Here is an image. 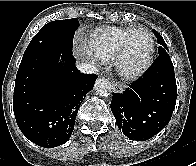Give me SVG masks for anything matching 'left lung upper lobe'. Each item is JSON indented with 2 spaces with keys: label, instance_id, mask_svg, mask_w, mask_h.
Returning a JSON list of instances; mask_svg holds the SVG:
<instances>
[{
  "label": "left lung upper lobe",
  "instance_id": "obj_1",
  "mask_svg": "<svg viewBox=\"0 0 196 166\" xmlns=\"http://www.w3.org/2000/svg\"><path fill=\"white\" fill-rule=\"evenodd\" d=\"M155 36L157 37V42L160 44L158 50H159V54H162L164 52H167L168 48L166 46L165 41L163 40L162 36L155 30H153Z\"/></svg>",
  "mask_w": 196,
  "mask_h": 166
}]
</instances>
